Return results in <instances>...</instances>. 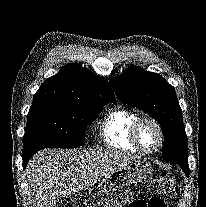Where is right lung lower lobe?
<instances>
[{
  "label": "right lung lower lobe",
  "mask_w": 206,
  "mask_h": 207,
  "mask_svg": "<svg viewBox=\"0 0 206 207\" xmlns=\"http://www.w3.org/2000/svg\"><path fill=\"white\" fill-rule=\"evenodd\" d=\"M33 154H23V168L26 167L29 159L31 158Z\"/></svg>",
  "instance_id": "98d812e1"
}]
</instances>
